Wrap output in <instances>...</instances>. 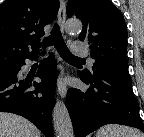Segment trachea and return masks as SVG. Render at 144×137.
Here are the masks:
<instances>
[{"mask_svg": "<svg viewBox=\"0 0 144 137\" xmlns=\"http://www.w3.org/2000/svg\"><path fill=\"white\" fill-rule=\"evenodd\" d=\"M53 43L58 53L63 59L84 61L83 58L76 57L69 51L68 47L66 46L63 40L62 34L59 30V26L57 24L54 25L51 31V35L44 39L45 45H52Z\"/></svg>", "mask_w": 144, "mask_h": 137, "instance_id": "obj_1", "label": "trachea"}]
</instances>
